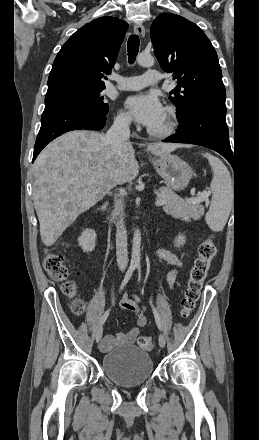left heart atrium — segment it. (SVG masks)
I'll return each mask as SVG.
<instances>
[{"mask_svg": "<svg viewBox=\"0 0 259 440\" xmlns=\"http://www.w3.org/2000/svg\"><path fill=\"white\" fill-rule=\"evenodd\" d=\"M125 105L132 118L148 128L160 122L164 115L161 102L152 94L132 95L125 100Z\"/></svg>", "mask_w": 259, "mask_h": 440, "instance_id": "39dd6f15", "label": "left heart atrium"}]
</instances>
